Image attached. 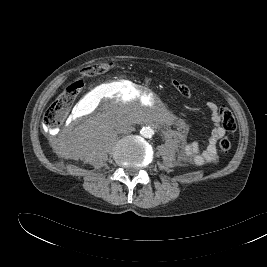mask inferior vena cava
Instances as JSON below:
<instances>
[{
	"instance_id": "obj_1",
	"label": "inferior vena cava",
	"mask_w": 267,
	"mask_h": 267,
	"mask_svg": "<svg viewBox=\"0 0 267 267\" xmlns=\"http://www.w3.org/2000/svg\"><path fill=\"white\" fill-rule=\"evenodd\" d=\"M118 131L121 133H130L134 131V128L130 126L129 124H123L118 128Z\"/></svg>"
}]
</instances>
